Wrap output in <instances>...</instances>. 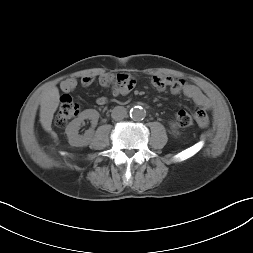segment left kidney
I'll list each match as a JSON object with an SVG mask.
<instances>
[{
    "label": "left kidney",
    "mask_w": 253,
    "mask_h": 253,
    "mask_svg": "<svg viewBox=\"0 0 253 253\" xmlns=\"http://www.w3.org/2000/svg\"><path fill=\"white\" fill-rule=\"evenodd\" d=\"M171 127H172V129H173V132H174L175 134H178V132L176 131V126H175V124H171Z\"/></svg>",
    "instance_id": "left-kidney-1"
}]
</instances>
